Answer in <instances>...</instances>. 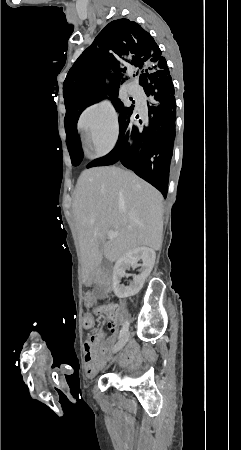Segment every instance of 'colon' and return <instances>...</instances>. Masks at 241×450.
Listing matches in <instances>:
<instances>
[{
    "mask_svg": "<svg viewBox=\"0 0 241 450\" xmlns=\"http://www.w3.org/2000/svg\"><path fill=\"white\" fill-rule=\"evenodd\" d=\"M121 310V307L119 306L118 302L115 300H111L108 303V306H104L101 308H97L95 310V314L97 316H102L105 314H109L111 316L116 315L117 312ZM79 324L84 326L86 329L93 328V315L92 314H85L79 317Z\"/></svg>",
    "mask_w": 241,
    "mask_h": 450,
    "instance_id": "colon-1",
    "label": "colon"
}]
</instances>
